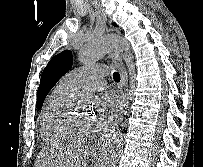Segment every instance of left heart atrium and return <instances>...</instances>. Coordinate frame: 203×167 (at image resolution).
Here are the masks:
<instances>
[{"mask_svg": "<svg viewBox=\"0 0 203 167\" xmlns=\"http://www.w3.org/2000/svg\"><path fill=\"white\" fill-rule=\"evenodd\" d=\"M122 109L120 96L113 91L101 94L97 104V114L93 117V125L97 129L109 126L119 115Z\"/></svg>", "mask_w": 203, "mask_h": 167, "instance_id": "39dd6f15", "label": "left heart atrium"}]
</instances>
